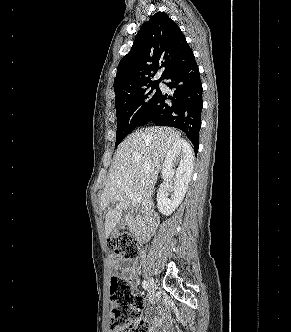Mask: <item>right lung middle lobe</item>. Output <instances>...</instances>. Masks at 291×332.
<instances>
[{
    "label": "right lung middle lobe",
    "instance_id": "obj_1",
    "mask_svg": "<svg viewBox=\"0 0 291 332\" xmlns=\"http://www.w3.org/2000/svg\"><path fill=\"white\" fill-rule=\"evenodd\" d=\"M160 92L158 81L115 100L117 115L115 146L119 145L129 133L141 125Z\"/></svg>",
    "mask_w": 291,
    "mask_h": 332
}]
</instances>
